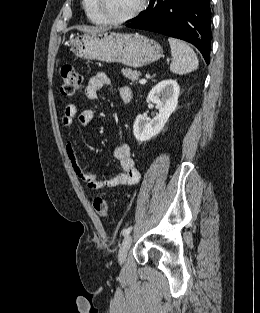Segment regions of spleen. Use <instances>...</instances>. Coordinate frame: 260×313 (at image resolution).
Returning <instances> with one entry per match:
<instances>
[{"label": "spleen", "mask_w": 260, "mask_h": 313, "mask_svg": "<svg viewBox=\"0 0 260 313\" xmlns=\"http://www.w3.org/2000/svg\"><path fill=\"white\" fill-rule=\"evenodd\" d=\"M173 61L170 64V71L183 75L190 73L198 68L199 61L193 49L184 41L168 39Z\"/></svg>", "instance_id": "1"}]
</instances>
